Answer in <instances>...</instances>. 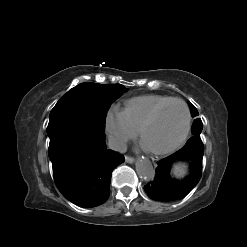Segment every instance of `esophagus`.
Segmentation results:
<instances>
[{
  "instance_id": "obj_1",
  "label": "esophagus",
  "mask_w": 247,
  "mask_h": 247,
  "mask_svg": "<svg viewBox=\"0 0 247 247\" xmlns=\"http://www.w3.org/2000/svg\"><path fill=\"white\" fill-rule=\"evenodd\" d=\"M125 161L131 164L135 161V159L131 156H125Z\"/></svg>"
}]
</instances>
